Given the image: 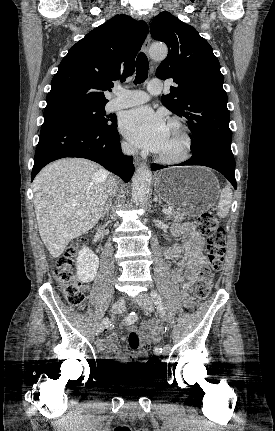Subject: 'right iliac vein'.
Returning <instances> with one entry per match:
<instances>
[{"instance_id": "1", "label": "right iliac vein", "mask_w": 275, "mask_h": 431, "mask_svg": "<svg viewBox=\"0 0 275 431\" xmlns=\"http://www.w3.org/2000/svg\"><path fill=\"white\" fill-rule=\"evenodd\" d=\"M125 309V300L123 298H120L117 302L114 303V305L112 306V312L113 313H121L122 311H124ZM97 333H101L103 331V324L100 323L97 326L96 329Z\"/></svg>"}]
</instances>
